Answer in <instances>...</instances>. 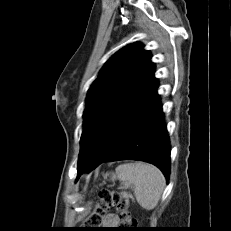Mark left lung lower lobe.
<instances>
[{"mask_svg":"<svg viewBox=\"0 0 231 231\" xmlns=\"http://www.w3.org/2000/svg\"><path fill=\"white\" fill-rule=\"evenodd\" d=\"M154 72L108 124L78 167V178L104 162L138 160L154 164L169 179L171 146Z\"/></svg>","mask_w":231,"mask_h":231,"instance_id":"left-lung-lower-lobe-1","label":"left lung lower lobe"}]
</instances>
